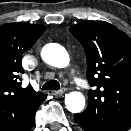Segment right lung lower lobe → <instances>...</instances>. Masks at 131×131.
<instances>
[{
	"instance_id": "right-lung-lower-lobe-1",
	"label": "right lung lower lobe",
	"mask_w": 131,
	"mask_h": 131,
	"mask_svg": "<svg viewBox=\"0 0 131 131\" xmlns=\"http://www.w3.org/2000/svg\"><path fill=\"white\" fill-rule=\"evenodd\" d=\"M40 104L21 109L7 116L1 113L0 131H30L34 125V117Z\"/></svg>"
}]
</instances>
